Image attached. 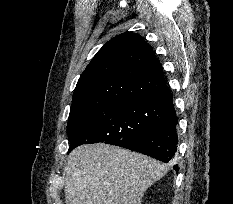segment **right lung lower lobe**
<instances>
[{
  "instance_id": "98d812e1",
  "label": "right lung lower lobe",
  "mask_w": 233,
  "mask_h": 204,
  "mask_svg": "<svg viewBox=\"0 0 233 204\" xmlns=\"http://www.w3.org/2000/svg\"><path fill=\"white\" fill-rule=\"evenodd\" d=\"M152 104L161 115L162 124L147 133L121 139L114 145L143 153L167 163L174 157L178 144L177 117L170 90L167 89L153 97ZM174 169L177 171L178 165H175Z\"/></svg>"
}]
</instances>
